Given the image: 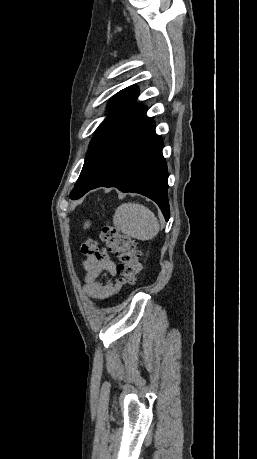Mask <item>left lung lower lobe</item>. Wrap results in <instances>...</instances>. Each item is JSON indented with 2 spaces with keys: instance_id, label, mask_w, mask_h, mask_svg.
Segmentation results:
<instances>
[{
  "instance_id": "left-lung-lower-lobe-1",
  "label": "left lung lower lobe",
  "mask_w": 257,
  "mask_h": 459,
  "mask_svg": "<svg viewBox=\"0 0 257 459\" xmlns=\"http://www.w3.org/2000/svg\"><path fill=\"white\" fill-rule=\"evenodd\" d=\"M162 147L153 119L146 116V107L134 105L107 131L101 144L100 166L87 192L105 186L140 193L158 204L167 221L168 173Z\"/></svg>"
}]
</instances>
